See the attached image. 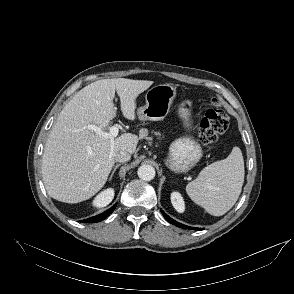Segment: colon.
Here are the masks:
<instances>
[{
	"label": "colon",
	"instance_id": "colon-1",
	"mask_svg": "<svg viewBox=\"0 0 294 294\" xmlns=\"http://www.w3.org/2000/svg\"><path fill=\"white\" fill-rule=\"evenodd\" d=\"M229 127V118L218 100L210 103L198 128V140L203 146L214 143Z\"/></svg>",
	"mask_w": 294,
	"mask_h": 294
}]
</instances>
